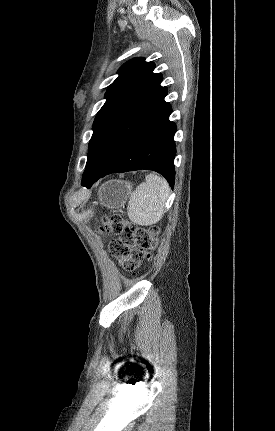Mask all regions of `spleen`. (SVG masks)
<instances>
[{"instance_id": "obj_1", "label": "spleen", "mask_w": 275, "mask_h": 431, "mask_svg": "<svg viewBox=\"0 0 275 431\" xmlns=\"http://www.w3.org/2000/svg\"><path fill=\"white\" fill-rule=\"evenodd\" d=\"M170 193L167 181L156 174L146 176L131 193L127 206L129 219L138 225H153L165 212L166 200Z\"/></svg>"}]
</instances>
